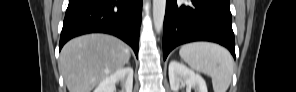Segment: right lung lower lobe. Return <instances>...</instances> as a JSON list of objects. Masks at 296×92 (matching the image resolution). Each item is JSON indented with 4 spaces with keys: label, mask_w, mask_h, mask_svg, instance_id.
Listing matches in <instances>:
<instances>
[{
    "label": "right lung lower lobe",
    "mask_w": 296,
    "mask_h": 92,
    "mask_svg": "<svg viewBox=\"0 0 296 92\" xmlns=\"http://www.w3.org/2000/svg\"><path fill=\"white\" fill-rule=\"evenodd\" d=\"M141 11L142 0H69L59 49L73 37L102 32L125 41L137 56Z\"/></svg>",
    "instance_id": "98d812e1"
}]
</instances>
